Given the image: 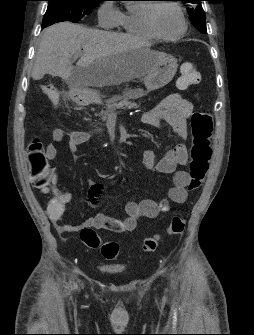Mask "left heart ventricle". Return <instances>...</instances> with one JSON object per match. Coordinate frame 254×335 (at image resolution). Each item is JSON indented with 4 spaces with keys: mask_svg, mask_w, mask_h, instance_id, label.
I'll list each match as a JSON object with an SVG mask.
<instances>
[{
    "mask_svg": "<svg viewBox=\"0 0 254 335\" xmlns=\"http://www.w3.org/2000/svg\"><path fill=\"white\" fill-rule=\"evenodd\" d=\"M156 25L165 35H174L182 28L179 14L170 6H161L156 12Z\"/></svg>",
    "mask_w": 254,
    "mask_h": 335,
    "instance_id": "1",
    "label": "left heart ventricle"
}]
</instances>
